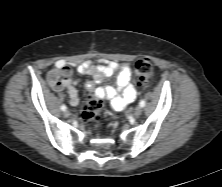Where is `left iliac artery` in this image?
I'll return each mask as SVG.
<instances>
[{
  "label": "left iliac artery",
  "mask_w": 222,
  "mask_h": 187,
  "mask_svg": "<svg viewBox=\"0 0 222 187\" xmlns=\"http://www.w3.org/2000/svg\"><path fill=\"white\" fill-rule=\"evenodd\" d=\"M139 105H140L141 107H144V106H145V100H141L140 103H139Z\"/></svg>",
  "instance_id": "obj_1"
}]
</instances>
